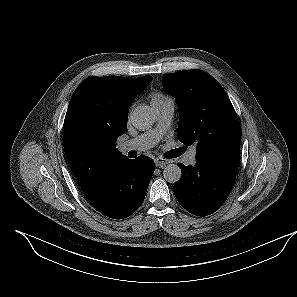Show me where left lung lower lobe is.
<instances>
[{"mask_svg":"<svg viewBox=\"0 0 297 297\" xmlns=\"http://www.w3.org/2000/svg\"><path fill=\"white\" fill-rule=\"evenodd\" d=\"M240 145L221 150L196 165L178 163L183 175L175 183L178 202L190 213L206 216L218 210L231 192L239 165Z\"/></svg>","mask_w":297,"mask_h":297,"instance_id":"obj_1","label":"left lung lower lobe"}]
</instances>
